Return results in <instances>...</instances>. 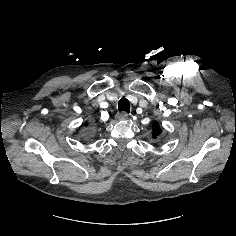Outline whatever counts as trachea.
Listing matches in <instances>:
<instances>
[{"label":"trachea","mask_w":236,"mask_h":236,"mask_svg":"<svg viewBox=\"0 0 236 236\" xmlns=\"http://www.w3.org/2000/svg\"><path fill=\"white\" fill-rule=\"evenodd\" d=\"M119 111L130 112V103L126 98H122L118 104Z\"/></svg>","instance_id":"obj_1"}]
</instances>
